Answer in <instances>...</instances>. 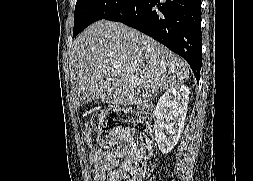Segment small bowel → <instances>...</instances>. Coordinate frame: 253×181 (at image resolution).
<instances>
[{
    "mask_svg": "<svg viewBox=\"0 0 253 181\" xmlns=\"http://www.w3.org/2000/svg\"><path fill=\"white\" fill-rule=\"evenodd\" d=\"M130 152L128 145H120L116 149L92 151L89 159L92 163L94 181H110L111 176L118 173L117 166L121 158Z\"/></svg>",
    "mask_w": 253,
    "mask_h": 181,
    "instance_id": "obj_1",
    "label": "small bowel"
}]
</instances>
